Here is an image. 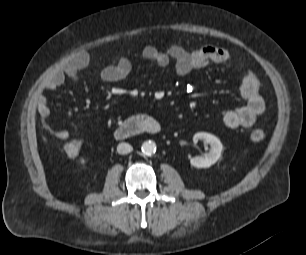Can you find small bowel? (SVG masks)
Masks as SVG:
<instances>
[{
  "instance_id": "small-bowel-1",
  "label": "small bowel",
  "mask_w": 306,
  "mask_h": 255,
  "mask_svg": "<svg viewBox=\"0 0 306 255\" xmlns=\"http://www.w3.org/2000/svg\"><path fill=\"white\" fill-rule=\"evenodd\" d=\"M142 57L159 67H167L174 63L175 71L179 76H186L195 69L225 64L231 60V55L226 49L214 45H203L194 50H187L176 44L170 45L165 50H160L154 45H147L142 50ZM88 63L89 54L85 51L80 52L46 78L36 96L37 111L42 118H47L50 114L48 94L62 86L67 79L73 82L78 81L79 72ZM131 71V60L122 56L115 64L103 67L98 76L105 82H118L127 78ZM240 95L244 105L227 110L222 116V123L227 128L251 127L265 110V102L260 94V81L252 70H247L241 80ZM43 128L59 140H66L69 137L68 131L56 130L46 122H43Z\"/></svg>"
}]
</instances>
